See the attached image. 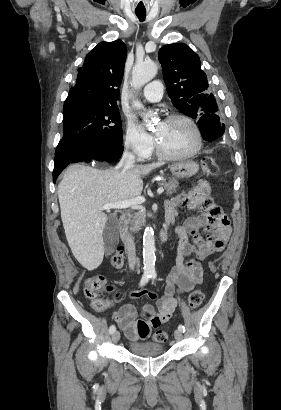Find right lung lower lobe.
I'll list each match as a JSON object with an SVG mask.
<instances>
[{
    "label": "right lung lower lobe",
    "instance_id": "right-lung-lower-lobe-1",
    "mask_svg": "<svg viewBox=\"0 0 281 410\" xmlns=\"http://www.w3.org/2000/svg\"><path fill=\"white\" fill-rule=\"evenodd\" d=\"M122 145H88L70 148L55 155L53 182L70 163L106 161L114 162L122 155Z\"/></svg>",
    "mask_w": 281,
    "mask_h": 410
}]
</instances>
